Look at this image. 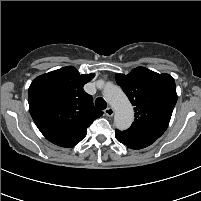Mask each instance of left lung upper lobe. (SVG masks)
Wrapping results in <instances>:
<instances>
[{"label": "left lung upper lobe", "instance_id": "left-lung-upper-lobe-1", "mask_svg": "<svg viewBox=\"0 0 201 201\" xmlns=\"http://www.w3.org/2000/svg\"><path fill=\"white\" fill-rule=\"evenodd\" d=\"M116 82L135 111L134 122L124 132L159 138L167 129L177 102L174 79L169 74L137 67L128 75L117 74Z\"/></svg>", "mask_w": 201, "mask_h": 201}]
</instances>
